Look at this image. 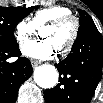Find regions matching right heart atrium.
I'll list each match as a JSON object with an SVG mask.
<instances>
[{
    "instance_id": "obj_1",
    "label": "right heart atrium",
    "mask_w": 103,
    "mask_h": 103,
    "mask_svg": "<svg viewBox=\"0 0 103 103\" xmlns=\"http://www.w3.org/2000/svg\"><path fill=\"white\" fill-rule=\"evenodd\" d=\"M35 26L31 21L20 20L14 28V37L18 44L25 43L30 36L34 33Z\"/></svg>"
}]
</instances>
